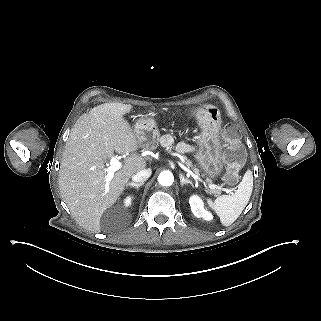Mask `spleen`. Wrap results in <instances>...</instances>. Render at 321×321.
I'll return each mask as SVG.
<instances>
[{"label": "spleen", "mask_w": 321, "mask_h": 321, "mask_svg": "<svg viewBox=\"0 0 321 321\" xmlns=\"http://www.w3.org/2000/svg\"><path fill=\"white\" fill-rule=\"evenodd\" d=\"M253 189V176L250 170L245 171L238 185L237 191L232 195H221L213 201L206 198L208 208L216 214L222 226L227 227L236 221L246 207Z\"/></svg>", "instance_id": "3e777b00"}]
</instances>
